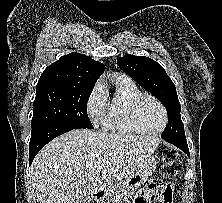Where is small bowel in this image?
Listing matches in <instances>:
<instances>
[{
	"label": "small bowel",
	"instance_id": "c3829d8e",
	"mask_svg": "<svg viewBox=\"0 0 222 203\" xmlns=\"http://www.w3.org/2000/svg\"><path fill=\"white\" fill-rule=\"evenodd\" d=\"M150 184H156V183H150ZM149 184V185H150ZM158 188V185L156 184V188L154 189V191ZM172 190L173 187L171 184H168L164 187L163 192H162V196H161V200L159 203H171L172 201ZM139 197H143L146 203H151L152 201L155 200V196L151 195V194H147V195H139L136 199L134 203H139L138 198Z\"/></svg>",
	"mask_w": 222,
	"mask_h": 203
}]
</instances>
